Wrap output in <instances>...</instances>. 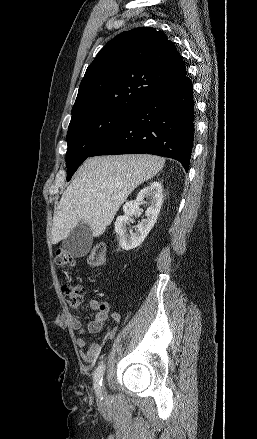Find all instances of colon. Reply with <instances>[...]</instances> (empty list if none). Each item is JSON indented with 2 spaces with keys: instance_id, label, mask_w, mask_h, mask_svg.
Returning a JSON list of instances; mask_svg holds the SVG:
<instances>
[{
  "instance_id": "5ec220e1",
  "label": "colon",
  "mask_w": 257,
  "mask_h": 439,
  "mask_svg": "<svg viewBox=\"0 0 257 439\" xmlns=\"http://www.w3.org/2000/svg\"><path fill=\"white\" fill-rule=\"evenodd\" d=\"M106 247L103 243H99L91 250L88 262L92 267H100L105 260ZM55 263L60 268L74 267L76 264L75 258L64 249H58L55 256ZM62 292L66 304L72 308L77 309L83 302L85 296L84 287L78 282H68L63 285Z\"/></svg>"
}]
</instances>
